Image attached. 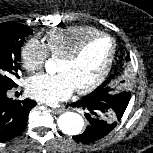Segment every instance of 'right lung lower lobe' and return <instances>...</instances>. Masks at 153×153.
Returning a JSON list of instances; mask_svg holds the SVG:
<instances>
[{"mask_svg":"<svg viewBox=\"0 0 153 153\" xmlns=\"http://www.w3.org/2000/svg\"><path fill=\"white\" fill-rule=\"evenodd\" d=\"M8 90L0 87V142L8 141L23 132L29 112L36 105L30 99L20 101L8 98Z\"/></svg>","mask_w":153,"mask_h":153,"instance_id":"obj_1","label":"right lung lower lobe"}]
</instances>
